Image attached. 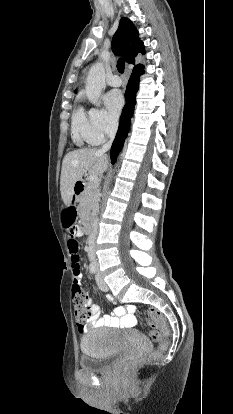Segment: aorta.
<instances>
[{"label":"aorta","instance_id":"obj_1","mask_svg":"<svg viewBox=\"0 0 233 414\" xmlns=\"http://www.w3.org/2000/svg\"><path fill=\"white\" fill-rule=\"evenodd\" d=\"M105 87V68L103 63L97 62L91 66L85 85L88 100L97 105L99 97Z\"/></svg>","mask_w":233,"mask_h":414}]
</instances>
